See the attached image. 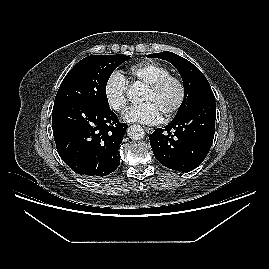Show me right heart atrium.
I'll return each instance as SVG.
<instances>
[{
	"label": "right heart atrium",
	"instance_id": "1",
	"mask_svg": "<svg viewBox=\"0 0 269 269\" xmlns=\"http://www.w3.org/2000/svg\"><path fill=\"white\" fill-rule=\"evenodd\" d=\"M104 97L109 108L121 112L127 105V80L119 71L111 72L104 83Z\"/></svg>",
	"mask_w": 269,
	"mask_h": 269
}]
</instances>
